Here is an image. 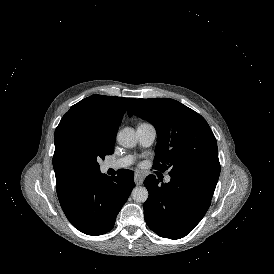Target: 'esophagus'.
<instances>
[{"label":"esophagus","mask_w":274,"mask_h":274,"mask_svg":"<svg viewBox=\"0 0 274 274\" xmlns=\"http://www.w3.org/2000/svg\"><path fill=\"white\" fill-rule=\"evenodd\" d=\"M134 182L137 185H141L143 183V175L141 173H139V172H135Z\"/></svg>","instance_id":"1"}]
</instances>
